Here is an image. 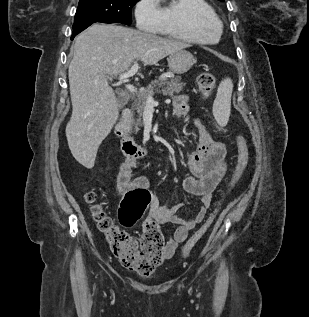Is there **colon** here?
<instances>
[{
  "label": "colon",
  "mask_w": 309,
  "mask_h": 317,
  "mask_svg": "<svg viewBox=\"0 0 309 317\" xmlns=\"http://www.w3.org/2000/svg\"><path fill=\"white\" fill-rule=\"evenodd\" d=\"M215 77L212 73L202 72L197 77V85L204 96H209L215 87ZM237 164L230 182L228 191H231L242 177L248 163V147L245 139L237 136ZM86 201L92 204L93 218L98 229L105 235L113 254L123 266L137 271L142 275L150 274L161 262L164 248V236L157 223L147 221L139 237L126 232L106 215L103 208L95 203L93 192L85 195ZM150 202V193L144 189H135L127 192L119 209L120 224L124 227L134 225L144 214ZM218 208L209 216L202 227L188 240L183 254L205 235L212 225Z\"/></svg>",
  "instance_id": "1"
}]
</instances>
